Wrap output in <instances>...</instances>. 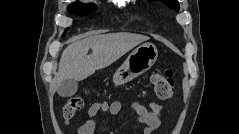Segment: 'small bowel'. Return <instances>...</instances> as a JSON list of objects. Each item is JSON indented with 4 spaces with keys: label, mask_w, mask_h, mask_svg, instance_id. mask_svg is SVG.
Instances as JSON below:
<instances>
[{
    "label": "small bowel",
    "mask_w": 239,
    "mask_h": 134,
    "mask_svg": "<svg viewBox=\"0 0 239 134\" xmlns=\"http://www.w3.org/2000/svg\"><path fill=\"white\" fill-rule=\"evenodd\" d=\"M130 109L135 113L139 123L145 125L143 134H153L161 125V117L163 106L150 102L148 106L140 102H132ZM123 106L119 101L112 102H95L88 109L89 119L77 128V134H95L96 120L95 118L101 112H108L111 115H118L122 112Z\"/></svg>",
    "instance_id": "small-bowel-1"
}]
</instances>
